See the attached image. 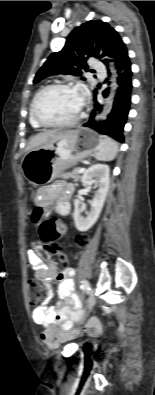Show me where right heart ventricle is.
I'll list each match as a JSON object with an SVG mask.
<instances>
[{
    "label": "right heart ventricle",
    "mask_w": 155,
    "mask_h": 395,
    "mask_svg": "<svg viewBox=\"0 0 155 395\" xmlns=\"http://www.w3.org/2000/svg\"><path fill=\"white\" fill-rule=\"evenodd\" d=\"M29 121L30 124L34 127V128H40V126L33 120L31 112L29 113Z\"/></svg>",
    "instance_id": "obj_1"
}]
</instances>
